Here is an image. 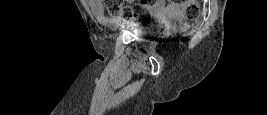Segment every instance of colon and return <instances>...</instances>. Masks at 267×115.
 <instances>
[{
  "label": "colon",
  "mask_w": 267,
  "mask_h": 115,
  "mask_svg": "<svg viewBox=\"0 0 267 115\" xmlns=\"http://www.w3.org/2000/svg\"><path fill=\"white\" fill-rule=\"evenodd\" d=\"M185 6L188 20H195L199 15V5L195 0H174ZM157 0L142 1L135 5H125L121 0H105L104 4L108 13L122 23L132 21H146L150 17V10Z\"/></svg>",
  "instance_id": "5ec220e1"
}]
</instances>
